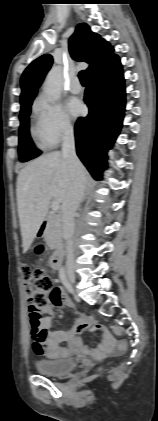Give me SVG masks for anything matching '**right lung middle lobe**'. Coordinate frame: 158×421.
<instances>
[{
  "label": "right lung middle lobe",
  "instance_id": "right-lung-middle-lobe-1",
  "mask_svg": "<svg viewBox=\"0 0 158 421\" xmlns=\"http://www.w3.org/2000/svg\"><path fill=\"white\" fill-rule=\"evenodd\" d=\"M31 102H28L24 105H21L20 110V128H19V160L22 162H26L30 159H33L41 154L38 151L31 140L29 134V115L31 111Z\"/></svg>",
  "mask_w": 158,
  "mask_h": 421
}]
</instances>
